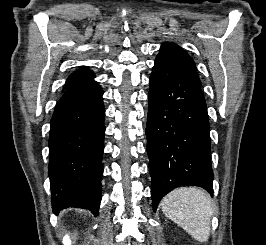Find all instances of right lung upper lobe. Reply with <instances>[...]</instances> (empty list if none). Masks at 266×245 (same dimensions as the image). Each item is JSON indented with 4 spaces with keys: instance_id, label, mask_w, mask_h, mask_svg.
<instances>
[{
    "instance_id": "obj_1",
    "label": "right lung upper lobe",
    "mask_w": 266,
    "mask_h": 245,
    "mask_svg": "<svg viewBox=\"0 0 266 245\" xmlns=\"http://www.w3.org/2000/svg\"><path fill=\"white\" fill-rule=\"evenodd\" d=\"M94 73L87 67L81 66L78 70L73 72L67 79L63 90H67L75 85L94 80Z\"/></svg>"
}]
</instances>
